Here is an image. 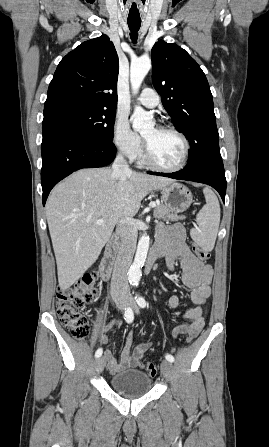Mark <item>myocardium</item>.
Wrapping results in <instances>:
<instances>
[{
  "mask_svg": "<svg viewBox=\"0 0 269 447\" xmlns=\"http://www.w3.org/2000/svg\"><path fill=\"white\" fill-rule=\"evenodd\" d=\"M158 127L162 130L171 131L181 137V139L183 140V143H184V152H183L182 159L179 164H177L176 166H172V167L164 166V165L156 162L152 157L151 149H150L148 143L143 138V148H144L143 160H144V162L153 168H156V169H159L162 171H167V172H175V171H179V170L183 169L187 164L189 154H190V141H189L188 137L186 136L185 133H183L181 130L177 129L174 126H171L168 124H160V125H158Z\"/></svg>",
  "mask_w": 269,
  "mask_h": 447,
  "instance_id": "f54148a6",
  "label": "myocardium"
}]
</instances>
